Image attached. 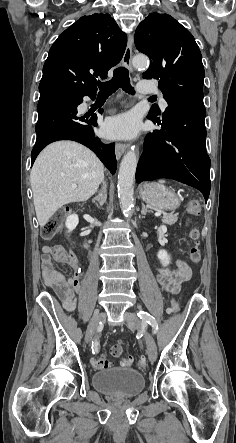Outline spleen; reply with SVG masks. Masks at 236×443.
Masks as SVG:
<instances>
[{
  "instance_id": "spleen-1",
  "label": "spleen",
  "mask_w": 236,
  "mask_h": 443,
  "mask_svg": "<svg viewBox=\"0 0 236 443\" xmlns=\"http://www.w3.org/2000/svg\"><path fill=\"white\" fill-rule=\"evenodd\" d=\"M159 182H160V183H164L165 181H164V180H159Z\"/></svg>"
}]
</instances>
